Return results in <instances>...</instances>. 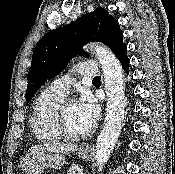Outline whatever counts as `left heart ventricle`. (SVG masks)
Masks as SVG:
<instances>
[{"mask_svg": "<svg viewBox=\"0 0 175 174\" xmlns=\"http://www.w3.org/2000/svg\"><path fill=\"white\" fill-rule=\"evenodd\" d=\"M65 124L67 129L75 134L83 133L90 128L81 115L77 103H70L66 107Z\"/></svg>", "mask_w": 175, "mask_h": 174, "instance_id": "left-heart-ventricle-1", "label": "left heart ventricle"}]
</instances>
